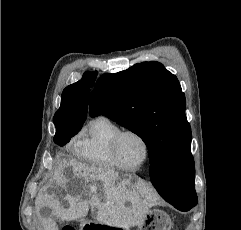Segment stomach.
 Listing matches in <instances>:
<instances>
[{
    "instance_id": "obj_1",
    "label": "stomach",
    "mask_w": 241,
    "mask_h": 230,
    "mask_svg": "<svg viewBox=\"0 0 241 230\" xmlns=\"http://www.w3.org/2000/svg\"><path fill=\"white\" fill-rule=\"evenodd\" d=\"M120 180L121 177H118L117 182ZM87 227H93L91 229L97 230H129L124 227L111 226L98 221H83L80 230H85ZM171 227L172 221L167 213L160 209H149L143 222L137 225V230H171Z\"/></svg>"
}]
</instances>
